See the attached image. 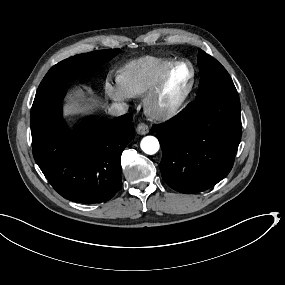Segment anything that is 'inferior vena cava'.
<instances>
[{"label":"inferior vena cava","instance_id":"inferior-vena-cava-1","mask_svg":"<svg viewBox=\"0 0 285 285\" xmlns=\"http://www.w3.org/2000/svg\"><path fill=\"white\" fill-rule=\"evenodd\" d=\"M127 104L121 103H112L111 106L108 108V113L111 116H121L124 115L128 110Z\"/></svg>","mask_w":285,"mask_h":285}]
</instances>
